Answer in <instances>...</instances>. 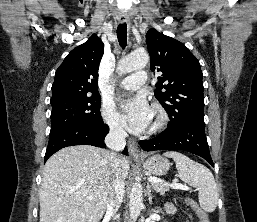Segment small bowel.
I'll list each match as a JSON object with an SVG mask.
<instances>
[{"instance_id": "c3829d8e", "label": "small bowel", "mask_w": 257, "mask_h": 222, "mask_svg": "<svg viewBox=\"0 0 257 222\" xmlns=\"http://www.w3.org/2000/svg\"><path fill=\"white\" fill-rule=\"evenodd\" d=\"M166 211H167V213H169V214H173V213H175V208H174L172 205H168V206L166 207Z\"/></svg>"}]
</instances>
